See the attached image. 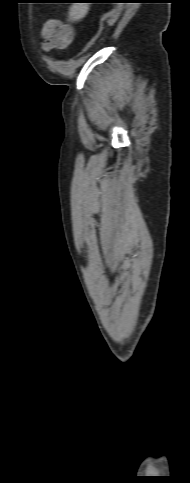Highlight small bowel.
I'll return each mask as SVG.
<instances>
[{"label":"small bowel","mask_w":190,"mask_h":483,"mask_svg":"<svg viewBox=\"0 0 190 483\" xmlns=\"http://www.w3.org/2000/svg\"><path fill=\"white\" fill-rule=\"evenodd\" d=\"M40 35L42 38V48L47 52L54 48H64L73 39L71 28L54 19H49L45 22L40 31Z\"/></svg>","instance_id":"1"}]
</instances>
